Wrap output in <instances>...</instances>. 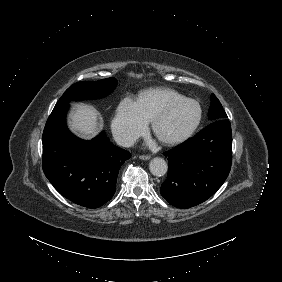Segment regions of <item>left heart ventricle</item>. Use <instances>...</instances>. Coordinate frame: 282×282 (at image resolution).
I'll use <instances>...</instances> for the list:
<instances>
[{
  "instance_id": "1",
  "label": "left heart ventricle",
  "mask_w": 282,
  "mask_h": 282,
  "mask_svg": "<svg viewBox=\"0 0 282 282\" xmlns=\"http://www.w3.org/2000/svg\"><path fill=\"white\" fill-rule=\"evenodd\" d=\"M198 107L188 102L172 111L160 126L162 135L170 137L183 130L197 115Z\"/></svg>"
}]
</instances>
